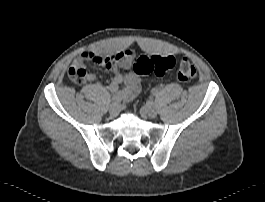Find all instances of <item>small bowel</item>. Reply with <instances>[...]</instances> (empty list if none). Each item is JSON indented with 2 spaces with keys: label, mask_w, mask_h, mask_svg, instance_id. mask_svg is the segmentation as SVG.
Instances as JSON below:
<instances>
[{
  "label": "small bowel",
  "mask_w": 265,
  "mask_h": 202,
  "mask_svg": "<svg viewBox=\"0 0 265 202\" xmlns=\"http://www.w3.org/2000/svg\"><path fill=\"white\" fill-rule=\"evenodd\" d=\"M86 63L105 67L114 73V79L107 90L121 97L125 102L134 99L141 91V80L130 68L132 54L130 51H120L113 55H104L93 51H83L75 59L74 64L84 66ZM85 80H95L93 73H86Z\"/></svg>",
  "instance_id": "obj_1"
}]
</instances>
